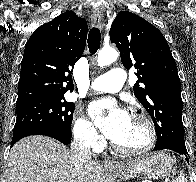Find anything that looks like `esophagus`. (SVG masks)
<instances>
[{
  "label": "esophagus",
  "mask_w": 196,
  "mask_h": 182,
  "mask_svg": "<svg viewBox=\"0 0 196 182\" xmlns=\"http://www.w3.org/2000/svg\"><path fill=\"white\" fill-rule=\"evenodd\" d=\"M102 20H103L102 13L99 10H96L91 17L92 25L94 27L102 29L103 27ZM103 165L107 167H119L118 163L109 160H104Z\"/></svg>",
  "instance_id": "1"
}]
</instances>
